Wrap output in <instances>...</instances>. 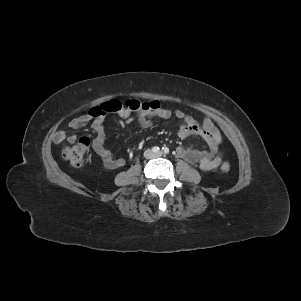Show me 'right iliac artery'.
<instances>
[{"label": "right iliac artery", "mask_w": 301, "mask_h": 301, "mask_svg": "<svg viewBox=\"0 0 301 301\" xmlns=\"http://www.w3.org/2000/svg\"><path fill=\"white\" fill-rule=\"evenodd\" d=\"M159 150H160V148L158 146H154L152 148V151L155 152V153L159 152Z\"/></svg>", "instance_id": "obj_1"}]
</instances>
